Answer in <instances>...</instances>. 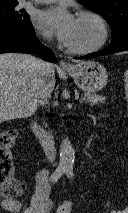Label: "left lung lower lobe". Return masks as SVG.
<instances>
[{"label":"left lung lower lobe","instance_id":"obj_1","mask_svg":"<svg viewBox=\"0 0 128 213\" xmlns=\"http://www.w3.org/2000/svg\"><path fill=\"white\" fill-rule=\"evenodd\" d=\"M121 51H128V31L122 33L117 38H114L112 40V43L105 49H103L99 52H95L90 55L84 56V57H75V59H85V58H90V57H97V56L117 53V52H121Z\"/></svg>","mask_w":128,"mask_h":213}]
</instances>
